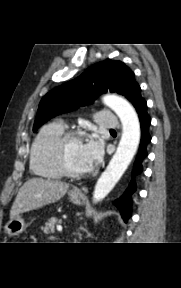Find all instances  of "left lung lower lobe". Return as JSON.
<instances>
[{"label":"left lung lower lobe","instance_id":"left-lung-lower-lobe-1","mask_svg":"<svg viewBox=\"0 0 181 288\" xmlns=\"http://www.w3.org/2000/svg\"><path fill=\"white\" fill-rule=\"evenodd\" d=\"M132 104L135 107L139 120H140V125H141V143L139 147V152L134 164V168L132 171V180L127 187L124 195L116 199L113 203L115 206L119 209L122 218L124 221L127 222L129 217L131 216V196L136 190V183L134 181V177L141 173L143 168H142V161L143 159L148 155L146 151V146L147 144L151 141V137L149 135L148 129L151 123V118L147 114V103L146 101L141 97V89L134 95L132 99Z\"/></svg>","mask_w":181,"mask_h":288}]
</instances>
